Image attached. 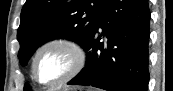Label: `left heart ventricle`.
Instances as JSON below:
<instances>
[{"instance_id":"1","label":"left heart ventricle","mask_w":173,"mask_h":91,"mask_svg":"<svg viewBox=\"0 0 173 91\" xmlns=\"http://www.w3.org/2000/svg\"><path fill=\"white\" fill-rule=\"evenodd\" d=\"M72 65V57L67 50L51 47L45 50L37 62V75L41 81L47 82L66 74Z\"/></svg>"}]
</instances>
